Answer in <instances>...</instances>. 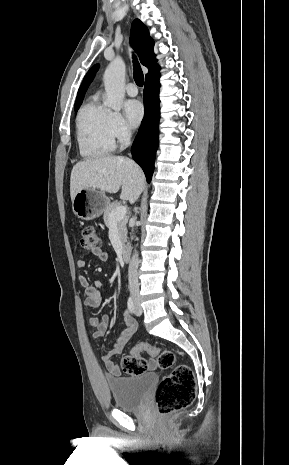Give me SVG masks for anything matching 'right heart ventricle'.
<instances>
[{
	"label": "right heart ventricle",
	"instance_id": "obj_1",
	"mask_svg": "<svg viewBox=\"0 0 289 465\" xmlns=\"http://www.w3.org/2000/svg\"><path fill=\"white\" fill-rule=\"evenodd\" d=\"M111 112L104 107L97 95L91 96L76 116V138L79 151L86 159L109 155L115 149L110 131Z\"/></svg>",
	"mask_w": 289,
	"mask_h": 465
}]
</instances>
